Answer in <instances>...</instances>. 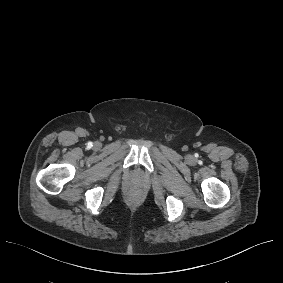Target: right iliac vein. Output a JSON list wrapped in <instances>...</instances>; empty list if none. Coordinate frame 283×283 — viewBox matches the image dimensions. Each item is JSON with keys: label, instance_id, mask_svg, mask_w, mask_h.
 <instances>
[{"label": "right iliac vein", "instance_id": "63e3f726", "mask_svg": "<svg viewBox=\"0 0 283 283\" xmlns=\"http://www.w3.org/2000/svg\"><path fill=\"white\" fill-rule=\"evenodd\" d=\"M99 145V143H95V145L94 146H98Z\"/></svg>", "mask_w": 283, "mask_h": 283}]
</instances>
